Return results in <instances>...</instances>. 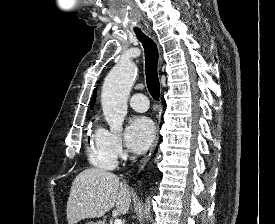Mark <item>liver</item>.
Returning <instances> with one entry per match:
<instances>
[{
  "label": "liver",
  "mask_w": 275,
  "mask_h": 224,
  "mask_svg": "<svg viewBox=\"0 0 275 224\" xmlns=\"http://www.w3.org/2000/svg\"><path fill=\"white\" fill-rule=\"evenodd\" d=\"M131 197L128 185L120 182L114 173L99 168L86 169L72 182L66 209L68 224L103 217L114 206L125 215Z\"/></svg>",
  "instance_id": "1"
}]
</instances>
